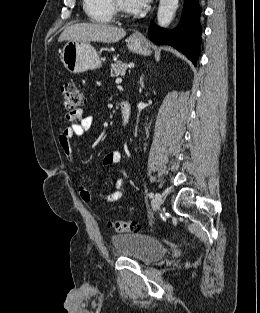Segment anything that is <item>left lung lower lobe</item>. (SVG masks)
<instances>
[{"instance_id": "obj_1", "label": "left lung lower lobe", "mask_w": 260, "mask_h": 313, "mask_svg": "<svg viewBox=\"0 0 260 313\" xmlns=\"http://www.w3.org/2000/svg\"><path fill=\"white\" fill-rule=\"evenodd\" d=\"M201 8L199 0H185L179 25L170 32L151 24L148 36L156 44H167L182 51L195 65L200 52Z\"/></svg>"}]
</instances>
